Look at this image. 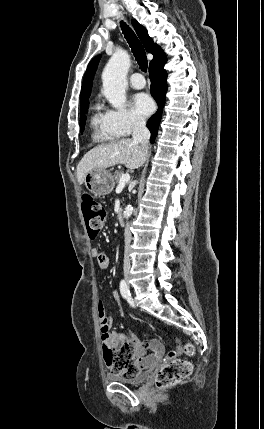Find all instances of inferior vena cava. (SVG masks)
I'll return each instance as SVG.
<instances>
[{
  "mask_svg": "<svg viewBox=\"0 0 264 429\" xmlns=\"http://www.w3.org/2000/svg\"><path fill=\"white\" fill-rule=\"evenodd\" d=\"M133 142L139 143L143 149H148V142L150 138V132L146 127V122L144 118L136 117L133 122ZM132 217L130 216L127 220V223H125V244L123 245V248L125 250L124 255V271L130 270V244H131V227H132Z\"/></svg>",
  "mask_w": 264,
  "mask_h": 429,
  "instance_id": "602c4592",
  "label": "inferior vena cava"
}]
</instances>
